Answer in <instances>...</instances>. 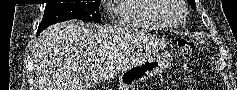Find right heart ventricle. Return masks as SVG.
Instances as JSON below:
<instances>
[{
	"label": "right heart ventricle",
	"mask_w": 237,
	"mask_h": 90,
	"mask_svg": "<svg viewBox=\"0 0 237 90\" xmlns=\"http://www.w3.org/2000/svg\"><path fill=\"white\" fill-rule=\"evenodd\" d=\"M166 2L156 0H118V6L110 7L114 28H136V29H163L160 23L154 20L158 14H150V10L164 7Z\"/></svg>",
	"instance_id": "obj_1"
}]
</instances>
